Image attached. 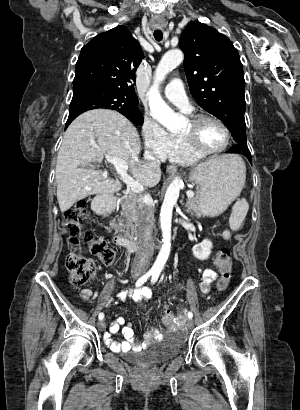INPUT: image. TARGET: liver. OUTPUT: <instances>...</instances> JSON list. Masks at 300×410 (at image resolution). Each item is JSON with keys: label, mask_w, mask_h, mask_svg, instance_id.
Wrapping results in <instances>:
<instances>
[{"label": "liver", "mask_w": 300, "mask_h": 410, "mask_svg": "<svg viewBox=\"0 0 300 410\" xmlns=\"http://www.w3.org/2000/svg\"><path fill=\"white\" fill-rule=\"evenodd\" d=\"M140 151L136 128L120 113L96 109L78 116L66 130L57 156V200L61 212L89 195L112 194L121 189L119 182L107 179L102 172L84 168L89 163H101L103 154L125 161L135 181L142 186H156L161 171L140 161ZM233 158V155L215 156L200 165Z\"/></svg>", "instance_id": "obj_1"}]
</instances>
